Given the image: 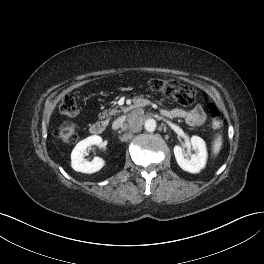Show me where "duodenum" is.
Here are the masks:
<instances>
[{"mask_svg":"<svg viewBox=\"0 0 264 264\" xmlns=\"http://www.w3.org/2000/svg\"><path fill=\"white\" fill-rule=\"evenodd\" d=\"M143 102L141 100H137L131 107L138 108L141 107ZM107 124L104 121H95L90 126V132L94 135L102 134L106 130Z\"/></svg>","mask_w":264,"mask_h":264,"instance_id":"1","label":"duodenum"}]
</instances>
